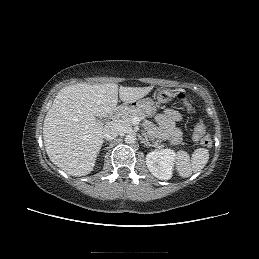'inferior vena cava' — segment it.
<instances>
[{
    "instance_id": "inferior-vena-cava-1",
    "label": "inferior vena cava",
    "mask_w": 259,
    "mask_h": 259,
    "mask_svg": "<svg viewBox=\"0 0 259 259\" xmlns=\"http://www.w3.org/2000/svg\"><path fill=\"white\" fill-rule=\"evenodd\" d=\"M121 132L119 125L115 123L108 124L103 129V137L106 140H112L116 138Z\"/></svg>"
}]
</instances>
